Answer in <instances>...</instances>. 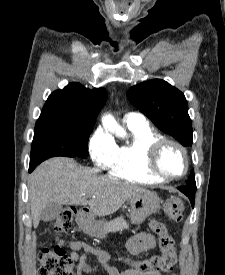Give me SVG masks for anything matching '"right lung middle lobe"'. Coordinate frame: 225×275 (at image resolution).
Segmentation results:
<instances>
[{
    "instance_id": "obj_1",
    "label": "right lung middle lobe",
    "mask_w": 225,
    "mask_h": 275,
    "mask_svg": "<svg viewBox=\"0 0 225 275\" xmlns=\"http://www.w3.org/2000/svg\"><path fill=\"white\" fill-rule=\"evenodd\" d=\"M93 126L92 122L70 119L38 120L34 130L29 171L53 156L87 157V143Z\"/></svg>"
}]
</instances>
